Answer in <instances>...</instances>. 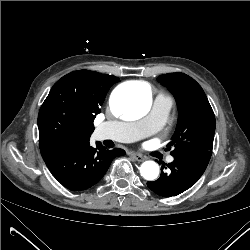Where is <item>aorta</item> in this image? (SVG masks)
Masks as SVG:
<instances>
[{"label":"aorta","mask_w":250,"mask_h":250,"mask_svg":"<svg viewBox=\"0 0 250 250\" xmlns=\"http://www.w3.org/2000/svg\"><path fill=\"white\" fill-rule=\"evenodd\" d=\"M151 91L144 85L119 87L112 93V112L127 120H137L145 116L151 108ZM140 173L146 180H154L159 175V166L154 161H145Z\"/></svg>","instance_id":"762f6f07"}]
</instances>
